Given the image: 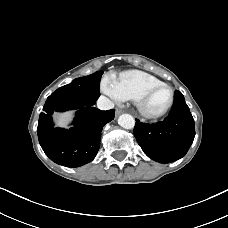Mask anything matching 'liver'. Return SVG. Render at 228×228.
Listing matches in <instances>:
<instances>
[{
  "mask_svg": "<svg viewBox=\"0 0 228 228\" xmlns=\"http://www.w3.org/2000/svg\"><path fill=\"white\" fill-rule=\"evenodd\" d=\"M72 114H73V112H71V111L63 113V114H58L56 116V118H57V121H56L57 126L67 128L68 123L71 121V119L73 117Z\"/></svg>",
  "mask_w": 228,
  "mask_h": 228,
  "instance_id": "obj_1",
  "label": "liver"
}]
</instances>
